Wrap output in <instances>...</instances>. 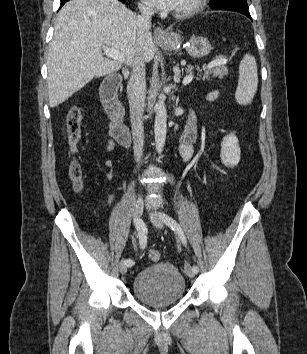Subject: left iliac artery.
I'll return each mask as SVG.
<instances>
[{
  "instance_id": "left-iliac-artery-1",
  "label": "left iliac artery",
  "mask_w": 307,
  "mask_h": 354,
  "mask_svg": "<svg viewBox=\"0 0 307 354\" xmlns=\"http://www.w3.org/2000/svg\"><path fill=\"white\" fill-rule=\"evenodd\" d=\"M160 218L166 225H168L173 231H175L179 235L182 243L186 246L187 242H186L184 232L180 227V225L176 222V220H174L172 217H170L165 213H160ZM192 270L194 273L199 272V268L197 265H193Z\"/></svg>"
}]
</instances>
